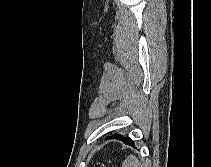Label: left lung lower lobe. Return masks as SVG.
<instances>
[{
	"mask_svg": "<svg viewBox=\"0 0 211 167\" xmlns=\"http://www.w3.org/2000/svg\"><path fill=\"white\" fill-rule=\"evenodd\" d=\"M110 138H117V139L122 140L123 142H125V143L128 144V145L134 146L133 141H132L129 137L123 138L122 135H116V134H114V135L110 136Z\"/></svg>",
	"mask_w": 211,
	"mask_h": 167,
	"instance_id": "0a47b994",
	"label": "left lung lower lobe"
}]
</instances>
